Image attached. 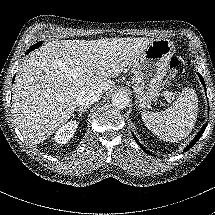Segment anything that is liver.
<instances>
[{
  "label": "liver",
  "instance_id": "6515ba94",
  "mask_svg": "<svg viewBox=\"0 0 215 215\" xmlns=\"http://www.w3.org/2000/svg\"><path fill=\"white\" fill-rule=\"evenodd\" d=\"M148 37L54 41L26 56L13 88L12 114L33 145L50 138L76 111L80 92H107L152 43Z\"/></svg>",
  "mask_w": 215,
  "mask_h": 215
}]
</instances>
